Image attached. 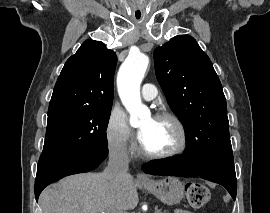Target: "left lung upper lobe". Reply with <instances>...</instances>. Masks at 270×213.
Here are the masks:
<instances>
[{
    "label": "left lung upper lobe",
    "mask_w": 270,
    "mask_h": 213,
    "mask_svg": "<svg viewBox=\"0 0 270 213\" xmlns=\"http://www.w3.org/2000/svg\"><path fill=\"white\" fill-rule=\"evenodd\" d=\"M154 60L156 77L184 126L186 142L204 161L233 158L222 86L196 40L175 36L155 49Z\"/></svg>",
    "instance_id": "left-lung-upper-lobe-1"
}]
</instances>
